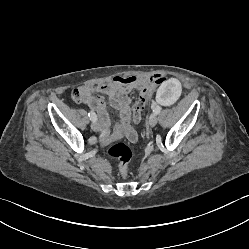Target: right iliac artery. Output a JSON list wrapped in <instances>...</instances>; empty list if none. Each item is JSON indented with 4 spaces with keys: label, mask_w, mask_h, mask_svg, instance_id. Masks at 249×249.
Masks as SVG:
<instances>
[{
    "label": "right iliac artery",
    "mask_w": 249,
    "mask_h": 249,
    "mask_svg": "<svg viewBox=\"0 0 249 249\" xmlns=\"http://www.w3.org/2000/svg\"><path fill=\"white\" fill-rule=\"evenodd\" d=\"M88 116L90 117V119H91L92 121H96V120H97V116H96V114H95L93 111H90V112L88 113Z\"/></svg>",
    "instance_id": "obj_1"
}]
</instances>
